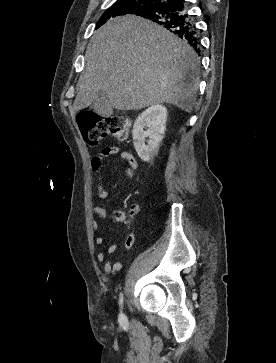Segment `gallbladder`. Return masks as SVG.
I'll use <instances>...</instances> for the list:
<instances>
[{"label": "gallbladder", "mask_w": 276, "mask_h": 363, "mask_svg": "<svg viewBox=\"0 0 276 363\" xmlns=\"http://www.w3.org/2000/svg\"><path fill=\"white\" fill-rule=\"evenodd\" d=\"M93 111L102 116L109 117L113 113V107L110 105L107 96L100 92L97 99L92 104Z\"/></svg>", "instance_id": "gallbladder-1"}]
</instances>
